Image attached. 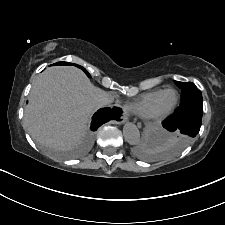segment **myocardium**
Returning <instances> with one entry per match:
<instances>
[{
    "label": "myocardium",
    "mask_w": 225,
    "mask_h": 225,
    "mask_svg": "<svg viewBox=\"0 0 225 225\" xmlns=\"http://www.w3.org/2000/svg\"><path fill=\"white\" fill-rule=\"evenodd\" d=\"M167 92H173L175 94V101L169 107L159 110L157 108L158 100L163 94ZM178 101H179V94L175 89L168 88V89L161 90L159 94L157 95V97L155 98V100L153 101V103L151 104L147 113L144 115V117L146 118V120L150 122H160L172 113V111L177 106Z\"/></svg>",
    "instance_id": "1"
}]
</instances>
